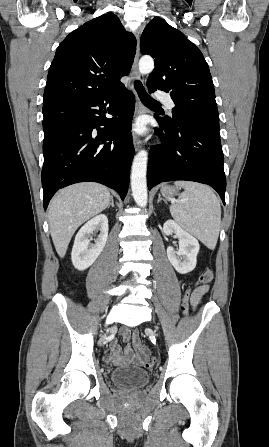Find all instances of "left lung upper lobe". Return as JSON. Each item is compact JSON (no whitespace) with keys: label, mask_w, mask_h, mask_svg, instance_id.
<instances>
[{"label":"left lung upper lobe","mask_w":269,"mask_h":447,"mask_svg":"<svg viewBox=\"0 0 269 447\" xmlns=\"http://www.w3.org/2000/svg\"><path fill=\"white\" fill-rule=\"evenodd\" d=\"M140 50L155 59L147 87L150 91L170 93L176 104L172 118L219 130L214 85L201 51L183 33L158 17L145 27Z\"/></svg>","instance_id":"obj_1"}]
</instances>
